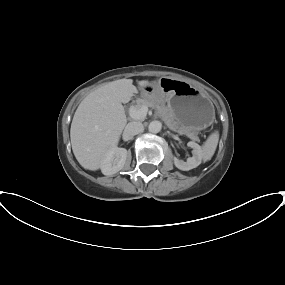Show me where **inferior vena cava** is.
I'll use <instances>...</instances> for the list:
<instances>
[{"instance_id": "obj_1", "label": "inferior vena cava", "mask_w": 285, "mask_h": 285, "mask_svg": "<svg viewBox=\"0 0 285 285\" xmlns=\"http://www.w3.org/2000/svg\"><path fill=\"white\" fill-rule=\"evenodd\" d=\"M144 131V126L141 122L132 121L129 122L125 127V134L132 137Z\"/></svg>"}]
</instances>
